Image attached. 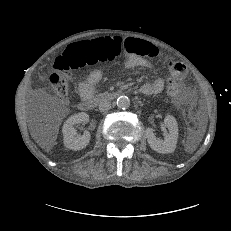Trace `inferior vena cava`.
Masks as SVG:
<instances>
[{"mask_svg":"<svg viewBox=\"0 0 231 231\" xmlns=\"http://www.w3.org/2000/svg\"><path fill=\"white\" fill-rule=\"evenodd\" d=\"M110 108H111V103H110L108 100L102 99V100L99 102V110H100L101 112L108 111Z\"/></svg>","mask_w":231,"mask_h":231,"instance_id":"602c4592","label":"inferior vena cava"}]
</instances>
